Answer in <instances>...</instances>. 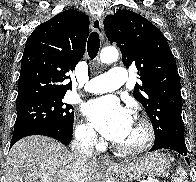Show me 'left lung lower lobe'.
I'll use <instances>...</instances> for the list:
<instances>
[{"instance_id": "0a47b994", "label": "left lung lower lobe", "mask_w": 196, "mask_h": 182, "mask_svg": "<svg viewBox=\"0 0 196 182\" xmlns=\"http://www.w3.org/2000/svg\"><path fill=\"white\" fill-rule=\"evenodd\" d=\"M160 149H169L180 153L183 156L187 155V147L184 140H179L176 138H165L160 141L154 142L153 147L150 151L160 150ZM189 163V159L185 158Z\"/></svg>"}]
</instances>
